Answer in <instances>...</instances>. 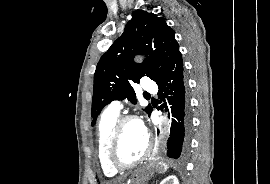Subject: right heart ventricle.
I'll return each mask as SVG.
<instances>
[{
    "mask_svg": "<svg viewBox=\"0 0 270 184\" xmlns=\"http://www.w3.org/2000/svg\"><path fill=\"white\" fill-rule=\"evenodd\" d=\"M118 118L119 112L108 108L102 113L97 128L99 161L104 174L109 177L118 173L107 160L109 138Z\"/></svg>",
    "mask_w": 270,
    "mask_h": 184,
    "instance_id": "e07e8e85",
    "label": "right heart ventricle"
}]
</instances>
